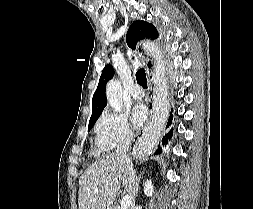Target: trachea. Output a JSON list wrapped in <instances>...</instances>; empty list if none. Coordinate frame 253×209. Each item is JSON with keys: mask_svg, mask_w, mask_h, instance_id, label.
Segmentation results:
<instances>
[{"mask_svg": "<svg viewBox=\"0 0 253 209\" xmlns=\"http://www.w3.org/2000/svg\"><path fill=\"white\" fill-rule=\"evenodd\" d=\"M136 80L139 85H141L143 88H147V78L146 73L143 69H139L136 72Z\"/></svg>", "mask_w": 253, "mask_h": 209, "instance_id": "1", "label": "trachea"}]
</instances>
